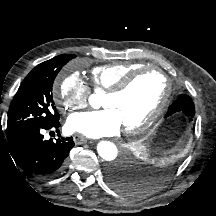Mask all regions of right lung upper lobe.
I'll return each mask as SVG.
<instances>
[{"label":"right lung upper lobe","mask_w":216,"mask_h":216,"mask_svg":"<svg viewBox=\"0 0 216 216\" xmlns=\"http://www.w3.org/2000/svg\"><path fill=\"white\" fill-rule=\"evenodd\" d=\"M43 65H45V62H43V63L37 65L33 70L35 71V70L41 68Z\"/></svg>","instance_id":"right-lung-upper-lobe-1"}]
</instances>
